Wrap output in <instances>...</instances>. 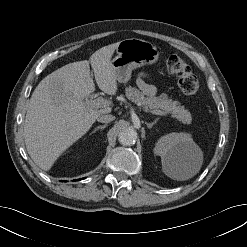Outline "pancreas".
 <instances>
[{
  "label": "pancreas",
  "instance_id": "pancreas-1",
  "mask_svg": "<svg viewBox=\"0 0 247 247\" xmlns=\"http://www.w3.org/2000/svg\"><path fill=\"white\" fill-rule=\"evenodd\" d=\"M126 97L135 104L142 105L149 110H161L166 114L178 119L183 124H190L192 117L188 110L181 106L178 101L168 99L167 94L163 93L158 97H145V95L135 87L125 89Z\"/></svg>",
  "mask_w": 247,
  "mask_h": 247
}]
</instances>
